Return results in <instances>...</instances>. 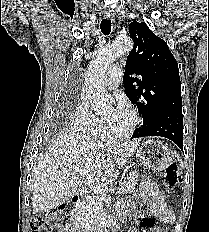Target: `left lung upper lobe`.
<instances>
[{
    "label": "left lung upper lobe",
    "mask_w": 209,
    "mask_h": 232,
    "mask_svg": "<svg viewBox=\"0 0 209 232\" xmlns=\"http://www.w3.org/2000/svg\"><path fill=\"white\" fill-rule=\"evenodd\" d=\"M129 33L134 47L127 57L123 83L144 126L163 112L182 108L179 69L166 42L145 23L134 20Z\"/></svg>",
    "instance_id": "left-lung-upper-lobe-1"
}]
</instances>
